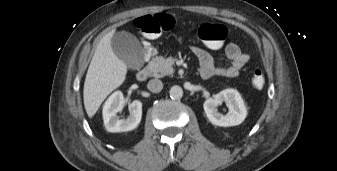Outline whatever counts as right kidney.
<instances>
[{
  "label": "right kidney",
  "instance_id": "right-kidney-1",
  "mask_svg": "<svg viewBox=\"0 0 337 171\" xmlns=\"http://www.w3.org/2000/svg\"><path fill=\"white\" fill-rule=\"evenodd\" d=\"M125 105V99L121 91L114 92L103 106V120L107 131L126 132L135 129L142 117V103L134 100L130 104V115L126 119H120L117 115Z\"/></svg>",
  "mask_w": 337,
  "mask_h": 171
}]
</instances>
